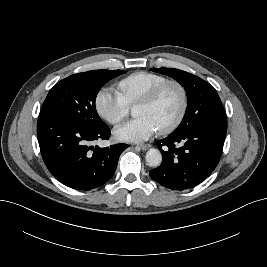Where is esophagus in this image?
<instances>
[{
  "label": "esophagus",
  "mask_w": 267,
  "mask_h": 267,
  "mask_svg": "<svg viewBox=\"0 0 267 267\" xmlns=\"http://www.w3.org/2000/svg\"><path fill=\"white\" fill-rule=\"evenodd\" d=\"M136 147L143 150V151H146L148 148H150V145L149 144H141V145H137Z\"/></svg>",
  "instance_id": "1"
}]
</instances>
